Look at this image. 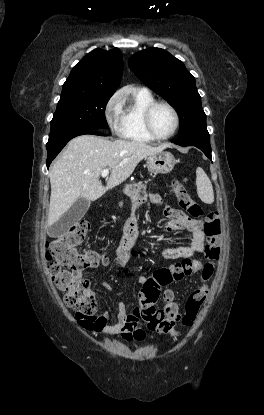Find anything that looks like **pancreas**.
<instances>
[{"label":"pancreas","instance_id":"1","mask_svg":"<svg viewBox=\"0 0 264 415\" xmlns=\"http://www.w3.org/2000/svg\"><path fill=\"white\" fill-rule=\"evenodd\" d=\"M119 206H120V207H122V206H123V203H122V202H120V203H119Z\"/></svg>","mask_w":264,"mask_h":415}]
</instances>
